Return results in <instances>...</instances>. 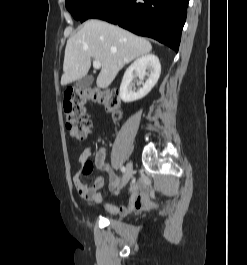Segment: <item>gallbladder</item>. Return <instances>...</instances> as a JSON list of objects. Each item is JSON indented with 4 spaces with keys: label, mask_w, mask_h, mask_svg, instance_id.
Instances as JSON below:
<instances>
[{
    "label": "gallbladder",
    "mask_w": 247,
    "mask_h": 265,
    "mask_svg": "<svg viewBox=\"0 0 247 265\" xmlns=\"http://www.w3.org/2000/svg\"><path fill=\"white\" fill-rule=\"evenodd\" d=\"M93 79V76L86 75L83 78L79 79L75 85L78 88H87L91 86Z\"/></svg>",
    "instance_id": "1"
}]
</instances>
